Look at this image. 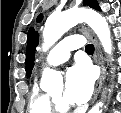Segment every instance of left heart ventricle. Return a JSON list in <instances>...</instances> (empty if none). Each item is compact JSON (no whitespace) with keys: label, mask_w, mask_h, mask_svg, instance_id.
Returning a JSON list of instances; mask_svg holds the SVG:
<instances>
[{"label":"left heart ventricle","mask_w":121,"mask_h":113,"mask_svg":"<svg viewBox=\"0 0 121 113\" xmlns=\"http://www.w3.org/2000/svg\"><path fill=\"white\" fill-rule=\"evenodd\" d=\"M51 95L60 103H64L67 104L65 98H64V94H63V89L62 88H57L55 89Z\"/></svg>","instance_id":"b2bd125f"}]
</instances>
